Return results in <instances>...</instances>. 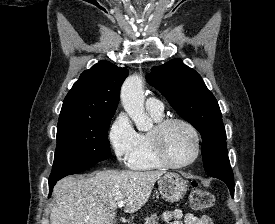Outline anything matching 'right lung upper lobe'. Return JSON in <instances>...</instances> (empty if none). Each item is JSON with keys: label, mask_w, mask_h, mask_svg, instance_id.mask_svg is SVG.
<instances>
[{"label": "right lung upper lobe", "mask_w": 275, "mask_h": 224, "mask_svg": "<svg viewBox=\"0 0 275 224\" xmlns=\"http://www.w3.org/2000/svg\"><path fill=\"white\" fill-rule=\"evenodd\" d=\"M128 70L100 61L84 71L66 95L59 122L114 115Z\"/></svg>", "instance_id": "right-lung-upper-lobe-1"}]
</instances>
